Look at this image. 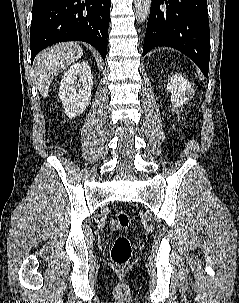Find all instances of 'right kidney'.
<instances>
[{"mask_svg":"<svg viewBox=\"0 0 239 303\" xmlns=\"http://www.w3.org/2000/svg\"><path fill=\"white\" fill-rule=\"evenodd\" d=\"M92 86L93 76L87 62L75 63L65 72L59 88V98L69 118L85 111L91 101Z\"/></svg>","mask_w":239,"mask_h":303,"instance_id":"obj_1","label":"right kidney"}]
</instances>
